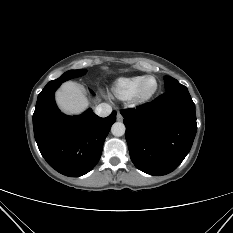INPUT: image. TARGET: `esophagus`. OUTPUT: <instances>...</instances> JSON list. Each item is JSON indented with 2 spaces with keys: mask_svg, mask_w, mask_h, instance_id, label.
<instances>
[{
  "mask_svg": "<svg viewBox=\"0 0 233 233\" xmlns=\"http://www.w3.org/2000/svg\"><path fill=\"white\" fill-rule=\"evenodd\" d=\"M116 118H117V121H122L123 120V116L121 115L120 112H117Z\"/></svg>",
  "mask_w": 233,
  "mask_h": 233,
  "instance_id": "1",
  "label": "esophagus"
}]
</instances>
